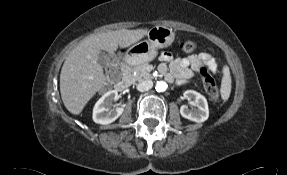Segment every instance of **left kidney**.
I'll use <instances>...</instances> for the list:
<instances>
[{"label": "left kidney", "instance_id": "5707ae66", "mask_svg": "<svg viewBox=\"0 0 287 175\" xmlns=\"http://www.w3.org/2000/svg\"><path fill=\"white\" fill-rule=\"evenodd\" d=\"M183 96L185 99L191 100L195 108L189 109L187 105H182L180 108L182 117L198 123L206 121L209 117L206 98L194 90L185 91Z\"/></svg>", "mask_w": 287, "mask_h": 175}]
</instances>
